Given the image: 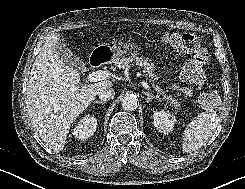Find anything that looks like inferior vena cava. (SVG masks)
<instances>
[{
    "label": "inferior vena cava",
    "mask_w": 245,
    "mask_h": 189,
    "mask_svg": "<svg viewBox=\"0 0 245 189\" xmlns=\"http://www.w3.org/2000/svg\"><path fill=\"white\" fill-rule=\"evenodd\" d=\"M98 96L103 101H109L114 98L115 91L110 87L103 88L98 92Z\"/></svg>",
    "instance_id": "obj_1"
}]
</instances>
